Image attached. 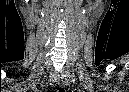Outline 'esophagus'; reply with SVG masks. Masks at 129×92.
Returning a JSON list of instances; mask_svg holds the SVG:
<instances>
[{"mask_svg": "<svg viewBox=\"0 0 129 92\" xmlns=\"http://www.w3.org/2000/svg\"><path fill=\"white\" fill-rule=\"evenodd\" d=\"M58 84H59L60 87H63L65 85V78H64V76H62V75L59 76Z\"/></svg>", "mask_w": 129, "mask_h": 92, "instance_id": "1", "label": "esophagus"}]
</instances>
